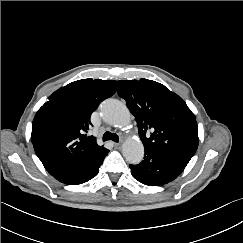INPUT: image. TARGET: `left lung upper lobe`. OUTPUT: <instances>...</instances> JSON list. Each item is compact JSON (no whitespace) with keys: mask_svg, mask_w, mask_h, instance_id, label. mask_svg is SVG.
I'll return each mask as SVG.
<instances>
[{"mask_svg":"<svg viewBox=\"0 0 243 243\" xmlns=\"http://www.w3.org/2000/svg\"><path fill=\"white\" fill-rule=\"evenodd\" d=\"M118 95L135 116L144 147L195 154L197 122L177 94L158 82L140 79L118 81Z\"/></svg>","mask_w":243,"mask_h":243,"instance_id":"left-lung-upper-lobe-1","label":"left lung upper lobe"}]
</instances>
